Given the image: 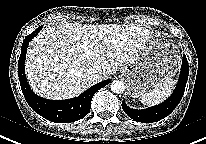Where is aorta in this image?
<instances>
[{
  "instance_id": "1",
  "label": "aorta",
  "mask_w": 206,
  "mask_h": 144,
  "mask_svg": "<svg viewBox=\"0 0 206 144\" xmlns=\"http://www.w3.org/2000/svg\"><path fill=\"white\" fill-rule=\"evenodd\" d=\"M110 87L111 91L116 94H121L125 91V85L120 80H114L113 82H111Z\"/></svg>"
}]
</instances>
